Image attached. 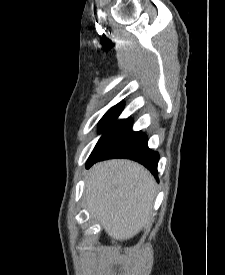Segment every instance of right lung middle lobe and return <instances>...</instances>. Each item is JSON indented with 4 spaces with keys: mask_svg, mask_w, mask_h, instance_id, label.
<instances>
[{
    "mask_svg": "<svg viewBox=\"0 0 225 275\" xmlns=\"http://www.w3.org/2000/svg\"><path fill=\"white\" fill-rule=\"evenodd\" d=\"M118 116H104L100 122H99V131L102 132V136L99 139L97 145L95 148L99 145V143L114 129L116 128L120 123H122L124 120H118ZM94 148V150H95ZM93 150V151H94Z\"/></svg>",
    "mask_w": 225,
    "mask_h": 275,
    "instance_id": "obj_1",
    "label": "right lung middle lobe"
}]
</instances>
